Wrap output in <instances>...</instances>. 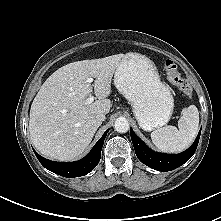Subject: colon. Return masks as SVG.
Returning <instances> with one entry per match:
<instances>
[{"mask_svg": "<svg viewBox=\"0 0 221 221\" xmlns=\"http://www.w3.org/2000/svg\"><path fill=\"white\" fill-rule=\"evenodd\" d=\"M164 72L168 81L183 95L189 96L191 88L185 79L181 76L177 65L172 60H167L164 64Z\"/></svg>", "mask_w": 221, "mask_h": 221, "instance_id": "5ec220e1", "label": "colon"}]
</instances>
